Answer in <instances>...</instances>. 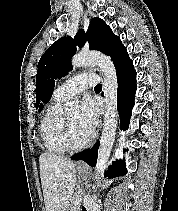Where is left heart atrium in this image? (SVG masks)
Instances as JSON below:
<instances>
[{"label":"left heart atrium","instance_id":"left-heart-atrium-1","mask_svg":"<svg viewBox=\"0 0 178 211\" xmlns=\"http://www.w3.org/2000/svg\"><path fill=\"white\" fill-rule=\"evenodd\" d=\"M98 123V108L95 102L89 98L83 100L79 116L80 127L91 135Z\"/></svg>","mask_w":178,"mask_h":211}]
</instances>
